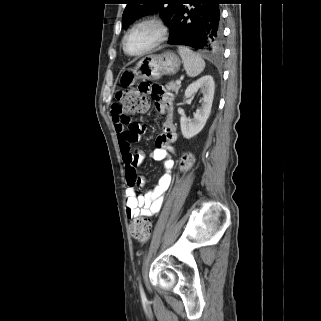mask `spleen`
Wrapping results in <instances>:
<instances>
[{
    "label": "spleen",
    "instance_id": "spleen-1",
    "mask_svg": "<svg viewBox=\"0 0 321 321\" xmlns=\"http://www.w3.org/2000/svg\"><path fill=\"white\" fill-rule=\"evenodd\" d=\"M178 52L182 58L184 69L189 77L198 76L205 68V61L201 56L186 46H179Z\"/></svg>",
    "mask_w": 321,
    "mask_h": 321
}]
</instances>
